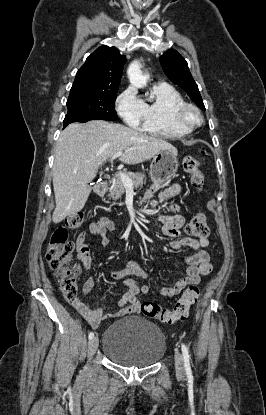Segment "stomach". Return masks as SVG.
Masks as SVG:
<instances>
[{"instance_id":"obj_1","label":"stomach","mask_w":266,"mask_h":415,"mask_svg":"<svg viewBox=\"0 0 266 415\" xmlns=\"http://www.w3.org/2000/svg\"><path fill=\"white\" fill-rule=\"evenodd\" d=\"M177 154L171 150H160L153 156L150 165V178L154 183H161L171 179L178 169Z\"/></svg>"}]
</instances>
